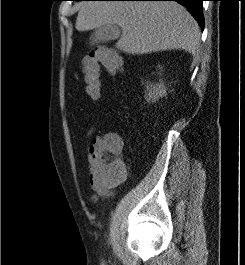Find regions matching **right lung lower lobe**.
I'll use <instances>...</instances> for the list:
<instances>
[{"instance_id": "right-lung-lower-lobe-1", "label": "right lung lower lobe", "mask_w": 245, "mask_h": 265, "mask_svg": "<svg viewBox=\"0 0 245 265\" xmlns=\"http://www.w3.org/2000/svg\"><path fill=\"white\" fill-rule=\"evenodd\" d=\"M124 1V0H123ZM126 1H176L186 7L196 19L201 29H204L203 0H126Z\"/></svg>"}]
</instances>
